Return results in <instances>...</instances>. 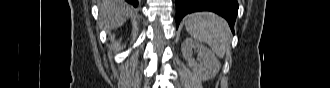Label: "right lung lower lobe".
I'll return each instance as SVG.
<instances>
[{
    "label": "right lung lower lobe",
    "mask_w": 330,
    "mask_h": 88,
    "mask_svg": "<svg viewBox=\"0 0 330 88\" xmlns=\"http://www.w3.org/2000/svg\"><path fill=\"white\" fill-rule=\"evenodd\" d=\"M125 1H127L130 4H132L134 7H137L138 6L137 0H125Z\"/></svg>",
    "instance_id": "right-lung-lower-lobe-1"
}]
</instances>
